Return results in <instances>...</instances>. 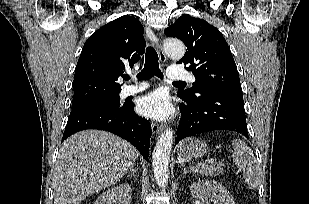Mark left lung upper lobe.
<instances>
[{"label": "left lung upper lobe", "instance_id": "1", "mask_svg": "<svg viewBox=\"0 0 309 204\" xmlns=\"http://www.w3.org/2000/svg\"><path fill=\"white\" fill-rule=\"evenodd\" d=\"M169 37L182 40L187 51L178 63L188 65L196 77L191 89L178 91V96L195 98L202 92H241L235 61L221 32L200 18L182 15L165 29Z\"/></svg>", "mask_w": 309, "mask_h": 204}]
</instances>
